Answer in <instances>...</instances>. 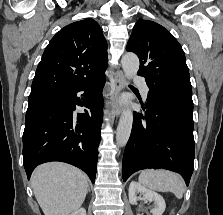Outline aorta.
Masks as SVG:
<instances>
[{"label":"aorta","instance_id":"762f6f07","mask_svg":"<svg viewBox=\"0 0 223 215\" xmlns=\"http://www.w3.org/2000/svg\"><path fill=\"white\" fill-rule=\"evenodd\" d=\"M121 64L125 78H128V80L129 78H133L134 73L138 72L140 66L138 56H136V54H132V52H128V54H124V56H122ZM132 123L133 113L131 109H123L117 125V145H126L131 133Z\"/></svg>","mask_w":223,"mask_h":215}]
</instances>
